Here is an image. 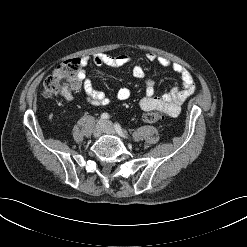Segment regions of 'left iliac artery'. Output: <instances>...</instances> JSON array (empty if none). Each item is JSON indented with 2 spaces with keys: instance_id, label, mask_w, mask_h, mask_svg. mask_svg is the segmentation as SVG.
Returning a JSON list of instances; mask_svg holds the SVG:
<instances>
[{
  "instance_id": "left-iliac-artery-1",
  "label": "left iliac artery",
  "mask_w": 247,
  "mask_h": 247,
  "mask_svg": "<svg viewBox=\"0 0 247 247\" xmlns=\"http://www.w3.org/2000/svg\"><path fill=\"white\" fill-rule=\"evenodd\" d=\"M114 127H115L116 132H117L119 135H121V136H123V137H127L126 131H124V130L122 129V127H121L118 123H116V124L114 125Z\"/></svg>"
}]
</instances>
